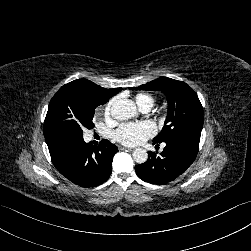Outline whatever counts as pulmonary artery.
I'll return each mask as SVG.
<instances>
[{
    "label": "pulmonary artery",
    "instance_id": "1",
    "mask_svg": "<svg viewBox=\"0 0 251 251\" xmlns=\"http://www.w3.org/2000/svg\"><path fill=\"white\" fill-rule=\"evenodd\" d=\"M141 109H142L143 112H148V111H150L151 107L146 106V107H143Z\"/></svg>",
    "mask_w": 251,
    "mask_h": 251
}]
</instances>
